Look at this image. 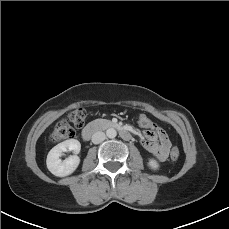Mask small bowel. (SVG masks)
<instances>
[{"mask_svg":"<svg viewBox=\"0 0 229 229\" xmlns=\"http://www.w3.org/2000/svg\"><path fill=\"white\" fill-rule=\"evenodd\" d=\"M139 123L141 127L146 129L141 138L142 146L150 152L157 161H165L171 148V142L167 134L160 128H155L151 120L145 115L140 116Z\"/></svg>","mask_w":229,"mask_h":229,"instance_id":"1","label":"small bowel"}]
</instances>
